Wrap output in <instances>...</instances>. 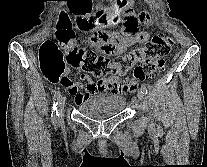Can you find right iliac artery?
<instances>
[{
  "label": "right iliac artery",
  "instance_id": "1",
  "mask_svg": "<svg viewBox=\"0 0 207 167\" xmlns=\"http://www.w3.org/2000/svg\"><path fill=\"white\" fill-rule=\"evenodd\" d=\"M59 98H60V92L57 91L54 95V98H53V106H52V114H51L52 122L55 125L58 123V120H59V114H58V110H57Z\"/></svg>",
  "mask_w": 207,
  "mask_h": 167
}]
</instances>
